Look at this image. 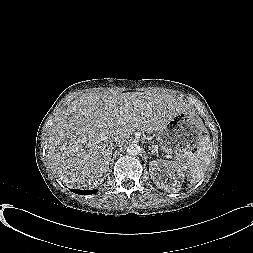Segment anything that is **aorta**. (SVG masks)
I'll return each instance as SVG.
<instances>
[{"mask_svg":"<svg viewBox=\"0 0 253 253\" xmlns=\"http://www.w3.org/2000/svg\"><path fill=\"white\" fill-rule=\"evenodd\" d=\"M127 153L132 156H136L141 152V148L137 143H132L127 147Z\"/></svg>","mask_w":253,"mask_h":253,"instance_id":"1","label":"aorta"}]
</instances>
